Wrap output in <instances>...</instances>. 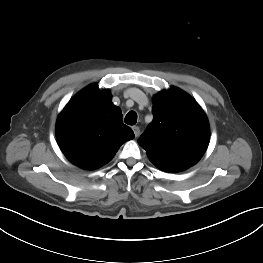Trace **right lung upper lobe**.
Returning a JSON list of instances; mask_svg holds the SVG:
<instances>
[{
	"mask_svg": "<svg viewBox=\"0 0 263 263\" xmlns=\"http://www.w3.org/2000/svg\"><path fill=\"white\" fill-rule=\"evenodd\" d=\"M108 90L91 84L75 95L59 114L56 138L61 151L76 166L97 169L108 163L123 143L133 139L123 124L121 109Z\"/></svg>",
	"mask_w": 263,
	"mask_h": 263,
	"instance_id": "1",
	"label": "right lung upper lobe"
}]
</instances>
